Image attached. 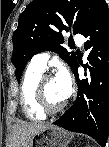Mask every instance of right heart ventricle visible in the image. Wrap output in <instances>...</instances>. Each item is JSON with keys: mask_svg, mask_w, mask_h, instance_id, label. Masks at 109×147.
Masks as SVG:
<instances>
[{"mask_svg": "<svg viewBox=\"0 0 109 147\" xmlns=\"http://www.w3.org/2000/svg\"><path fill=\"white\" fill-rule=\"evenodd\" d=\"M43 71L28 67L24 73L21 88L20 102L24 115L32 121L44 120L46 114L42 112L35 102V91Z\"/></svg>", "mask_w": 109, "mask_h": 147, "instance_id": "obj_1", "label": "right heart ventricle"}]
</instances>
